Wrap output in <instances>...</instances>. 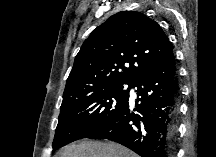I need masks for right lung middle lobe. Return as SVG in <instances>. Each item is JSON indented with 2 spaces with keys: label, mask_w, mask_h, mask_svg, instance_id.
Listing matches in <instances>:
<instances>
[{
  "label": "right lung middle lobe",
  "mask_w": 216,
  "mask_h": 157,
  "mask_svg": "<svg viewBox=\"0 0 216 157\" xmlns=\"http://www.w3.org/2000/svg\"><path fill=\"white\" fill-rule=\"evenodd\" d=\"M124 85L84 92L67 100L60 108L53 151L86 138L110 122L129 99Z\"/></svg>",
  "instance_id": "dd1d6c3e"
}]
</instances>
